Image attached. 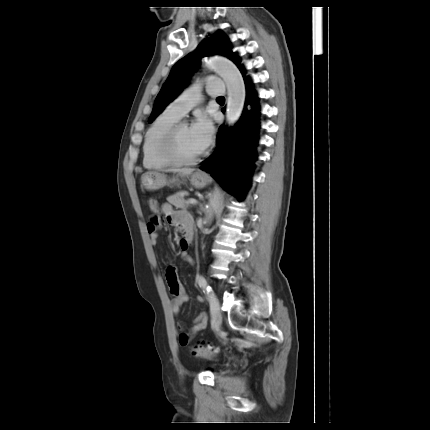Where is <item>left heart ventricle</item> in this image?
Returning <instances> with one entry per match:
<instances>
[{
    "mask_svg": "<svg viewBox=\"0 0 430 430\" xmlns=\"http://www.w3.org/2000/svg\"><path fill=\"white\" fill-rule=\"evenodd\" d=\"M177 149L179 154L185 158L194 157L201 152L191 136L190 128L187 126H183L178 132Z\"/></svg>",
    "mask_w": 430,
    "mask_h": 430,
    "instance_id": "b2bd125f",
    "label": "left heart ventricle"
}]
</instances>
